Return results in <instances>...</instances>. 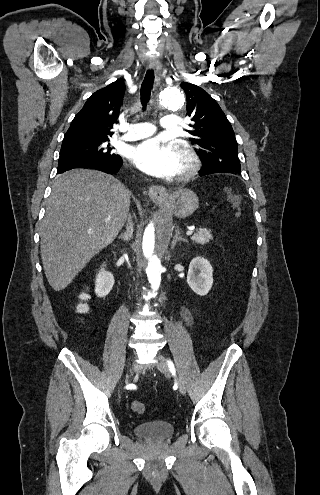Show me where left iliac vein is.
<instances>
[{"label":"left iliac vein","mask_w":320,"mask_h":495,"mask_svg":"<svg viewBox=\"0 0 320 495\" xmlns=\"http://www.w3.org/2000/svg\"><path fill=\"white\" fill-rule=\"evenodd\" d=\"M156 365H157V368L159 371H161L162 373H164L166 375H171V372H170V369L167 365L166 359L161 354L157 355V364ZM174 380L177 384L179 392L184 395L186 393L185 383L183 382V380L181 378H179L177 376H174Z\"/></svg>","instance_id":"obj_1"}]
</instances>
